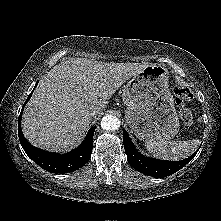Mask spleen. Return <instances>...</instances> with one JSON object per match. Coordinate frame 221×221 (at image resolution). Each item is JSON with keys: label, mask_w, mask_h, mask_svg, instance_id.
<instances>
[{"label": "spleen", "mask_w": 221, "mask_h": 221, "mask_svg": "<svg viewBox=\"0 0 221 221\" xmlns=\"http://www.w3.org/2000/svg\"><path fill=\"white\" fill-rule=\"evenodd\" d=\"M200 141L198 139L187 141H160L146 142V149L155 157L164 160H181L189 157L196 151Z\"/></svg>", "instance_id": "1"}]
</instances>
